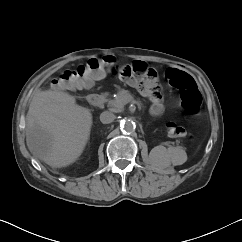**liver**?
Listing matches in <instances>:
<instances>
[{"label":"liver","mask_w":242,"mask_h":242,"mask_svg":"<svg viewBox=\"0 0 242 242\" xmlns=\"http://www.w3.org/2000/svg\"><path fill=\"white\" fill-rule=\"evenodd\" d=\"M92 114L61 91H36L26 115V143L32 155L53 168L74 163L90 136Z\"/></svg>","instance_id":"1"}]
</instances>
